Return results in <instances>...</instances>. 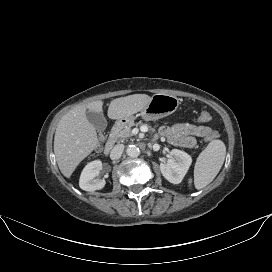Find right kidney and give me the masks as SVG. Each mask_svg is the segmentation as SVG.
Instances as JSON below:
<instances>
[{
	"instance_id": "obj_1",
	"label": "right kidney",
	"mask_w": 272,
	"mask_h": 272,
	"mask_svg": "<svg viewBox=\"0 0 272 272\" xmlns=\"http://www.w3.org/2000/svg\"><path fill=\"white\" fill-rule=\"evenodd\" d=\"M101 170L102 162L100 160H95L88 163L80 175V188L89 192L101 190L102 188H104L106 184L105 180L103 178H98Z\"/></svg>"
}]
</instances>
